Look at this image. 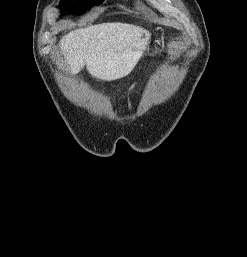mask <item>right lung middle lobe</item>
<instances>
[{"label":"right lung middle lobe","instance_id":"1","mask_svg":"<svg viewBox=\"0 0 247 257\" xmlns=\"http://www.w3.org/2000/svg\"><path fill=\"white\" fill-rule=\"evenodd\" d=\"M104 0H79L72 2L71 0H61L59 7L64 13L81 14L87 8L102 3Z\"/></svg>","mask_w":247,"mask_h":257}]
</instances>
